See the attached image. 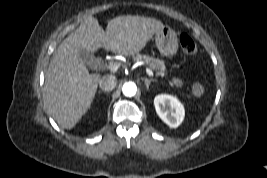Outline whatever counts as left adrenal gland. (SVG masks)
<instances>
[{
	"label": "left adrenal gland",
	"instance_id": "a2214340",
	"mask_svg": "<svg viewBox=\"0 0 267 178\" xmlns=\"http://www.w3.org/2000/svg\"><path fill=\"white\" fill-rule=\"evenodd\" d=\"M143 80L145 81V85H146L147 90L149 89L150 83L156 81L154 79H148V78H143Z\"/></svg>",
	"mask_w": 267,
	"mask_h": 178
}]
</instances>
